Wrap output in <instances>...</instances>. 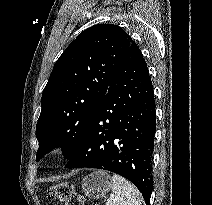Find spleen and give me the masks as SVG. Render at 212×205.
<instances>
[{
  "label": "spleen",
  "mask_w": 212,
  "mask_h": 205,
  "mask_svg": "<svg viewBox=\"0 0 212 205\" xmlns=\"http://www.w3.org/2000/svg\"><path fill=\"white\" fill-rule=\"evenodd\" d=\"M110 182L111 194L106 205H141L140 193L124 177L114 174Z\"/></svg>",
  "instance_id": "spleen-1"
}]
</instances>
